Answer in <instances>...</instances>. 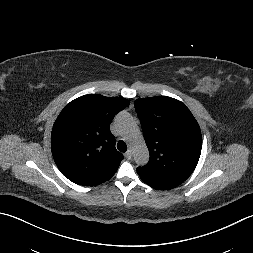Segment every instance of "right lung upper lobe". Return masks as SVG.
<instances>
[{
    "mask_svg": "<svg viewBox=\"0 0 253 253\" xmlns=\"http://www.w3.org/2000/svg\"><path fill=\"white\" fill-rule=\"evenodd\" d=\"M129 104L125 98L88 94L64 107L53 125L51 149L65 177L95 186L115 174L123 155L115 148L109 125Z\"/></svg>",
    "mask_w": 253,
    "mask_h": 253,
    "instance_id": "right-lung-upper-lobe-1",
    "label": "right lung upper lobe"
}]
</instances>
